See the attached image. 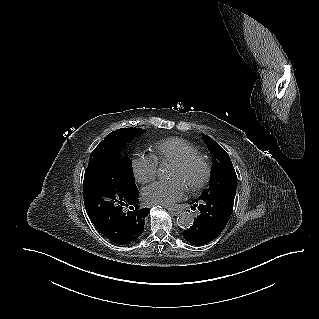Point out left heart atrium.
I'll list each match as a JSON object with an SVG mask.
<instances>
[{
    "instance_id": "1",
    "label": "left heart atrium",
    "mask_w": 319,
    "mask_h": 319,
    "mask_svg": "<svg viewBox=\"0 0 319 319\" xmlns=\"http://www.w3.org/2000/svg\"><path fill=\"white\" fill-rule=\"evenodd\" d=\"M186 191V185L180 179L157 181L145 187L143 199L148 205L171 206L180 200Z\"/></svg>"
}]
</instances>
